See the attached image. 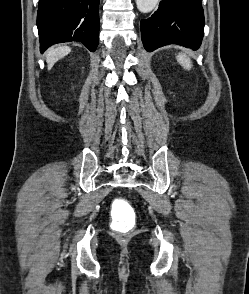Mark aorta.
I'll return each instance as SVG.
<instances>
[{"label":"aorta","mask_w":249,"mask_h":294,"mask_svg":"<svg viewBox=\"0 0 249 294\" xmlns=\"http://www.w3.org/2000/svg\"><path fill=\"white\" fill-rule=\"evenodd\" d=\"M158 2L159 0H136V5L140 12L149 13L156 7Z\"/></svg>","instance_id":"obj_1"}]
</instances>
